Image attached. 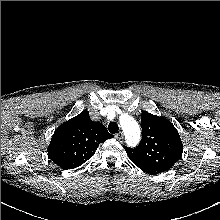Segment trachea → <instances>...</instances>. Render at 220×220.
Segmentation results:
<instances>
[{
    "mask_svg": "<svg viewBox=\"0 0 220 220\" xmlns=\"http://www.w3.org/2000/svg\"><path fill=\"white\" fill-rule=\"evenodd\" d=\"M108 130H109V132H111V133H117V132L119 131L118 124L115 123V122L109 123V125H108Z\"/></svg>",
    "mask_w": 220,
    "mask_h": 220,
    "instance_id": "obj_1",
    "label": "trachea"
}]
</instances>
